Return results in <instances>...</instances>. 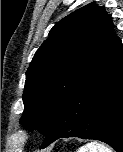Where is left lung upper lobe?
<instances>
[{"mask_svg": "<svg viewBox=\"0 0 123 152\" xmlns=\"http://www.w3.org/2000/svg\"><path fill=\"white\" fill-rule=\"evenodd\" d=\"M104 7L94 2L61 19L26 72L21 124L47 136L53 116L113 36Z\"/></svg>", "mask_w": 123, "mask_h": 152, "instance_id": "obj_1", "label": "left lung upper lobe"}]
</instances>
